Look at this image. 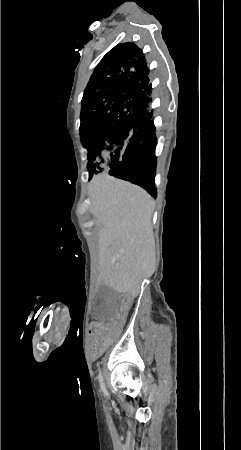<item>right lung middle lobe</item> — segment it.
I'll use <instances>...</instances> for the list:
<instances>
[{
    "instance_id": "right-lung-middle-lobe-1",
    "label": "right lung middle lobe",
    "mask_w": 241,
    "mask_h": 450,
    "mask_svg": "<svg viewBox=\"0 0 241 450\" xmlns=\"http://www.w3.org/2000/svg\"><path fill=\"white\" fill-rule=\"evenodd\" d=\"M149 104L120 97L111 85L88 83L81 109L80 136L88 149L90 176L111 169L142 142L132 125L145 117Z\"/></svg>"
}]
</instances>
